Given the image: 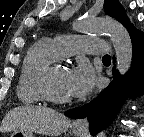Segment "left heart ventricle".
I'll list each match as a JSON object with an SVG mask.
<instances>
[{"label":"left heart ventricle","instance_id":"1","mask_svg":"<svg viewBox=\"0 0 144 137\" xmlns=\"http://www.w3.org/2000/svg\"><path fill=\"white\" fill-rule=\"evenodd\" d=\"M69 72V69H67L66 67L58 66L53 76L54 90L63 97H70L67 89Z\"/></svg>","mask_w":144,"mask_h":137}]
</instances>
